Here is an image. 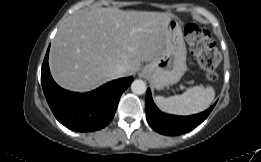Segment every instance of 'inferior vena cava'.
Masks as SVG:
<instances>
[{"label":"inferior vena cava","instance_id":"602c4592","mask_svg":"<svg viewBox=\"0 0 261 162\" xmlns=\"http://www.w3.org/2000/svg\"><path fill=\"white\" fill-rule=\"evenodd\" d=\"M113 74L116 78L125 76L126 74V68L124 66L118 65L114 70Z\"/></svg>","mask_w":261,"mask_h":162}]
</instances>
